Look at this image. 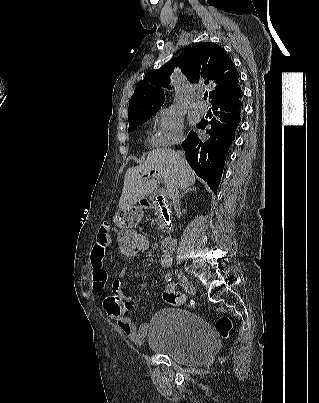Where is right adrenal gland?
<instances>
[{
    "label": "right adrenal gland",
    "instance_id": "obj_1",
    "mask_svg": "<svg viewBox=\"0 0 319 403\" xmlns=\"http://www.w3.org/2000/svg\"><path fill=\"white\" fill-rule=\"evenodd\" d=\"M195 190H196V187H195L194 185H192L191 187H189V188H187V189H184L183 192H182V194L180 195V199H181L186 193L192 192V191H195Z\"/></svg>",
    "mask_w": 319,
    "mask_h": 403
}]
</instances>
